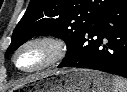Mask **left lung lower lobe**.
I'll use <instances>...</instances> for the list:
<instances>
[{"mask_svg":"<svg viewBox=\"0 0 127 92\" xmlns=\"http://www.w3.org/2000/svg\"><path fill=\"white\" fill-rule=\"evenodd\" d=\"M63 67L95 69L127 78V0L81 35L58 66Z\"/></svg>","mask_w":127,"mask_h":92,"instance_id":"obj_1","label":"left lung lower lobe"}]
</instances>
